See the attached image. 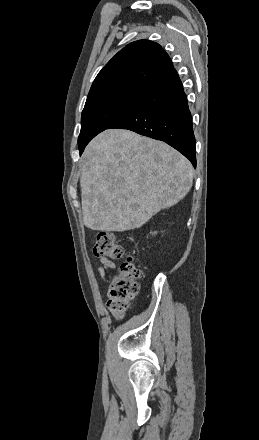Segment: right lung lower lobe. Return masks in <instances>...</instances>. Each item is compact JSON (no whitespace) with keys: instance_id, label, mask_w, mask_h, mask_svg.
I'll list each match as a JSON object with an SVG mask.
<instances>
[{"instance_id":"98d812e1","label":"right lung lower lobe","mask_w":259,"mask_h":440,"mask_svg":"<svg viewBox=\"0 0 259 440\" xmlns=\"http://www.w3.org/2000/svg\"><path fill=\"white\" fill-rule=\"evenodd\" d=\"M110 128L128 129L161 140L196 167L192 117L182 82L175 69L168 72L142 99Z\"/></svg>"}]
</instances>
